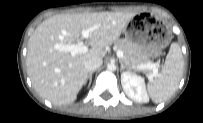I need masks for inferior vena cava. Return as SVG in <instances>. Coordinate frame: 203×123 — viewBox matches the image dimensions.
I'll use <instances>...</instances> for the list:
<instances>
[{
  "mask_svg": "<svg viewBox=\"0 0 203 123\" xmlns=\"http://www.w3.org/2000/svg\"><path fill=\"white\" fill-rule=\"evenodd\" d=\"M102 63L103 61L101 58H90L84 62V66L88 72H92L99 68Z\"/></svg>",
  "mask_w": 203,
  "mask_h": 123,
  "instance_id": "obj_1",
  "label": "inferior vena cava"
}]
</instances>
